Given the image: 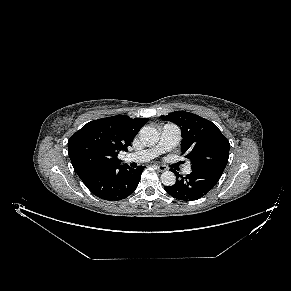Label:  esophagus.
Wrapping results in <instances>:
<instances>
[{
	"mask_svg": "<svg viewBox=\"0 0 291 291\" xmlns=\"http://www.w3.org/2000/svg\"><path fill=\"white\" fill-rule=\"evenodd\" d=\"M156 169L159 171V172H164L167 170V168L163 165H157L156 166Z\"/></svg>",
	"mask_w": 291,
	"mask_h": 291,
	"instance_id": "34e87169",
	"label": "esophagus"
}]
</instances>
